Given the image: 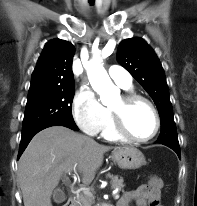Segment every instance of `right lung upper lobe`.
<instances>
[{
  "mask_svg": "<svg viewBox=\"0 0 197 206\" xmlns=\"http://www.w3.org/2000/svg\"><path fill=\"white\" fill-rule=\"evenodd\" d=\"M74 46L60 39L46 43L31 77L30 89L74 86Z\"/></svg>",
  "mask_w": 197,
  "mask_h": 206,
  "instance_id": "1",
  "label": "right lung upper lobe"
}]
</instances>
